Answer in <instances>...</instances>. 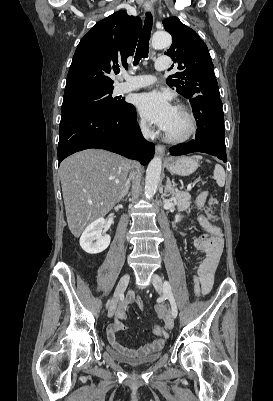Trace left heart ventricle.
I'll return each instance as SVG.
<instances>
[{"instance_id": "obj_1", "label": "left heart ventricle", "mask_w": 273, "mask_h": 401, "mask_svg": "<svg viewBox=\"0 0 273 401\" xmlns=\"http://www.w3.org/2000/svg\"><path fill=\"white\" fill-rule=\"evenodd\" d=\"M189 129L190 122L188 118L179 110L175 109L165 132L173 136H182L185 135Z\"/></svg>"}]
</instances>
